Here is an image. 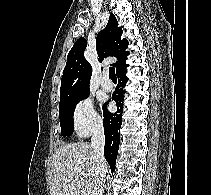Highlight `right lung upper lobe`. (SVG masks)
I'll use <instances>...</instances> for the list:
<instances>
[{"instance_id": "1", "label": "right lung upper lobe", "mask_w": 211, "mask_h": 195, "mask_svg": "<svg viewBox=\"0 0 211 195\" xmlns=\"http://www.w3.org/2000/svg\"><path fill=\"white\" fill-rule=\"evenodd\" d=\"M118 22L113 14H110L106 27L101 30L96 39L97 54L102 61L106 56L116 57L118 60L113 64L116 73L125 69V63L129 52L126 39L121 40L122 29L117 27ZM87 41L80 37L68 53L67 63L63 70L60 88V103L82 97L89 93V82L92 67L84 58V50Z\"/></svg>"}]
</instances>
